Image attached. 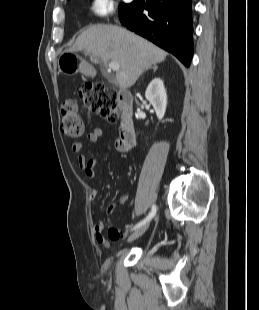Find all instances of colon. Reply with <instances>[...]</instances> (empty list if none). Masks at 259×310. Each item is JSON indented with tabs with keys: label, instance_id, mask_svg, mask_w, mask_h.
I'll return each instance as SVG.
<instances>
[{
	"label": "colon",
	"instance_id": "colon-1",
	"mask_svg": "<svg viewBox=\"0 0 259 310\" xmlns=\"http://www.w3.org/2000/svg\"><path fill=\"white\" fill-rule=\"evenodd\" d=\"M78 97L85 107L104 118L109 123H116L120 104L116 90L101 83L82 85L77 91ZM61 127L63 132L73 139L84 135V124L79 113V107L74 99H66L61 106Z\"/></svg>",
	"mask_w": 259,
	"mask_h": 310
}]
</instances>
